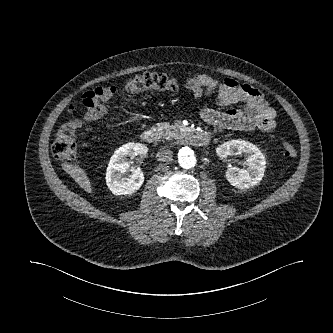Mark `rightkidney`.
I'll list each match as a JSON object with an SVG mask.
<instances>
[{
  "label": "right kidney",
  "instance_id": "obj_1",
  "mask_svg": "<svg viewBox=\"0 0 333 333\" xmlns=\"http://www.w3.org/2000/svg\"><path fill=\"white\" fill-rule=\"evenodd\" d=\"M147 151L148 148L140 143H128L115 151L110 158L105 177L107 186L114 195H131L140 189L144 174L141 170H135L125 177L124 174L130 167L126 157L144 155Z\"/></svg>",
  "mask_w": 333,
  "mask_h": 333
}]
</instances>
